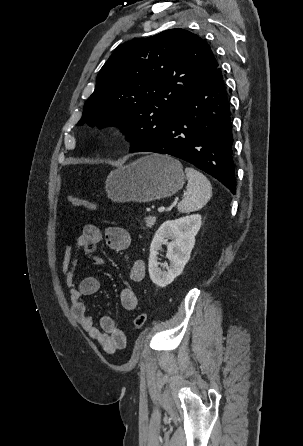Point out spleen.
Instances as JSON below:
<instances>
[{
  "label": "spleen",
  "instance_id": "spleen-1",
  "mask_svg": "<svg viewBox=\"0 0 303 446\" xmlns=\"http://www.w3.org/2000/svg\"><path fill=\"white\" fill-rule=\"evenodd\" d=\"M185 173L188 184L184 199L178 204L177 209L181 213H190L201 209L212 196L210 181L199 171L192 167H186Z\"/></svg>",
  "mask_w": 303,
  "mask_h": 446
}]
</instances>
